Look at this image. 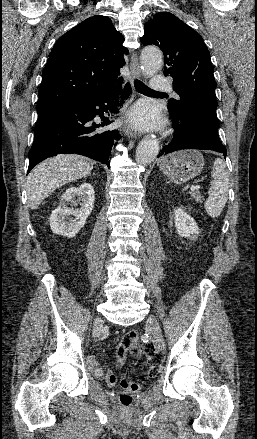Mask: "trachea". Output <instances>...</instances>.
Returning <instances> with one entry per match:
<instances>
[{
  "instance_id": "3493384b",
  "label": "trachea",
  "mask_w": 257,
  "mask_h": 439,
  "mask_svg": "<svg viewBox=\"0 0 257 439\" xmlns=\"http://www.w3.org/2000/svg\"><path fill=\"white\" fill-rule=\"evenodd\" d=\"M135 84V88L139 91V92H144V93H157L153 90H151L149 87H147L144 83H142L139 80H135L134 82Z\"/></svg>"
}]
</instances>
